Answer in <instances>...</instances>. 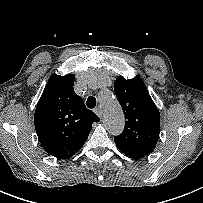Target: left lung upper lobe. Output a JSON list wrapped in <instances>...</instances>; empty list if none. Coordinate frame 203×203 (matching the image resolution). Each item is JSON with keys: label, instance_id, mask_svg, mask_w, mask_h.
<instances>
[{"label": "left lung upper lobe", "instance_id": "1", "mask_svg": "<svg viewBox=\"0 0 203 203\" xmlns=\"http://www.w3.org/2000/svg\"><path fill=\"white\" fill-rule=\"evenodd\" d=\"M114 91L125 114V128L114 138L117 147L139 157L153 151L160 134V113L140 77H118Z\"/></svg>", "mask_w": 203, "mask_h": 203}]
</instances>
